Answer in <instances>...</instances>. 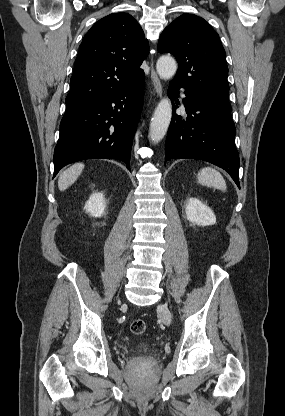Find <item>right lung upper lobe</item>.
<instances>
[{
	"instance_id": "1",
	"label": "right lung upper lobe",
	"mask_w": 285,
	"mask_h": 416,
	"mask_svg": "<svg viewBox=\"0 0 285 416\" xmlns=\"http://www.w3.org/2000/svg\"><path fill=\"white\" fill-rule=\"evenodd\" d=\"M149 53L138 22L127 13L96 22L79 47L66 107L74 108L114 95L140 78Z\"/></svg>"
}]
</instances>
